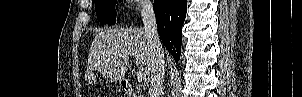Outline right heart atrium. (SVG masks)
I'll use <instances>...</instances> for the list:
<instances>
[{
  "instance_id": "obj_1",
  "label": "right heart atrium",
  "mask_w": 302,
  "mask_h": 97,
  "mask_svg": "<svg viewBox=\"0 0 302 97\" xmlns=\"http://www.w3.org/2000/svg\"><path fill=\"white\" fill-rule=\"evenodd\" d=\"M132 2H136V1H132ZM134 9H138V7L134 8Z\"/></svg>"
}]
</instances>
